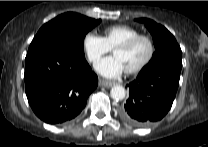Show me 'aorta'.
Listing matches in <instances>:
<instances>
[{
    "label": "aorta",
    "mask_w": 208,
    "mask_h": 147,
    "mask_svg": "<svg viewBox=\"0 0 208 147\" xmlns=\"http://www.w3.org/2000/svg\"><path fill=\"white\" fill-rule=\"evenodd\" d=\"M110 95L114 100H117V101L123 100L126 95L125 88L123 86L116 85L112 87L110 91Z\"/></svg>",
    "instance_id": "762f6f07"
}]
</instances>
